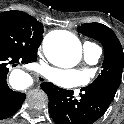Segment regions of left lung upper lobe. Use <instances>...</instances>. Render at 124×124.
Segmentation results:
<instances>
[{"label": "left lung upper lobe", "instance_id": "obj_1", "mask_svg": "<svg viewBox=\"0 0 124 124\" xmlns=\"http://www.w3.org/2000/svg\"><path fill=\"white\" fill-rule=\"evenodd\" d=\"M80 33L98 40L104 47L101 74L87 87L105 91L112 98L120 86L124 66V53L115 33L106 25L86 23L78 27Z\"/></svg>", "mask_w": 124, "mask_h": 124}]
</instances>
